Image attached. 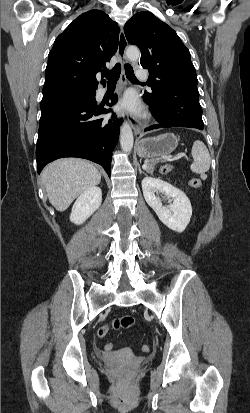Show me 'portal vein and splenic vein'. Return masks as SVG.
Instances as JSON below:
<instances>
[{"label": "portal vein and splenic vein", "mask_w": 250, "mask_h": 413, "mask_svg": "<svg viewBox=\"0 0 250 413\" xmlns=\"http://www.w3.org/2000/svg\"><path fill=\"white\" fill-rule=\"evenodd\" d=\"M182 157L188 158V157L186 156V154H179V155L175 156L173 159H170V160H179V159H181Z\"/></svg>", "instance_id": "portal-vein-and-splenic-vein-1"}]
</instances>
